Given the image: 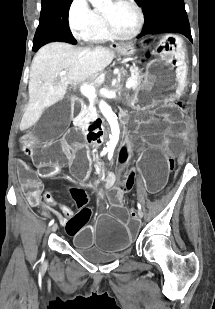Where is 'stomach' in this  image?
Segmentation results:
<instances>
[{"label":"stomach","instance_id":"stomach-1","mask_svg":"<svg viewBox=\"0 0 215 309\" xmlns=\"http://www.w3.org/2000/svg\"><path fill=\"white\" fill-rule=\"evenodd\" d=\"M117 51L124 56L133 55L135 44H123ZM155 54L157 58L148 64L138 87L134 89V102L175 100L186 86L187 65L182 38L174 34L162 36Z\"/></svg>","mask_w":215,"mask_h":309}]
</instances>
